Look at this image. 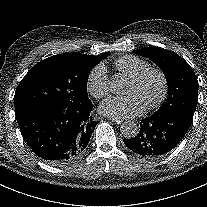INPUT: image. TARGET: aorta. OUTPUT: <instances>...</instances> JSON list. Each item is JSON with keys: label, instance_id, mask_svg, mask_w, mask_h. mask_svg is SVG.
Returning <instances> with one entry per match:
<instances>
[{"label": "aorta", "instance_id": "obj_1", "mask_svg": "<svg viewBox=\"0 0 207 207\" xmlns=\"http://www.w3.org/2000/svg\"><path fill=\"white\" fill-rule=\"evenodd\" d=\"M110 89L112 92L121 94L125 91L127 81L122 74H115L109 81ZM140 127L134 121H126L120 127L121 134L126 139H131L137 136Z\"/></svg>", "mask_w": 207, "mask_h": 207}]
</instances>
